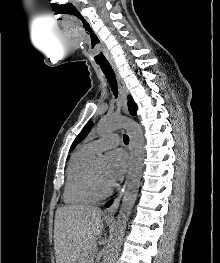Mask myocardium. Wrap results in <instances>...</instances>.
Returning <instances> with one entry per match:
<instances>
[{
  "label": "myocardium",
  "mask_w": 220,
  "mask_h": 263,
  "mask_svg": "<svg viewBox=\"0 0 220 263\" xmlns=\"http://www.w3.org/2000/svg\"><path fill=\"white\" fill-rule=\"evenodd\" d=\"M87 187L89 192L94 196L96 199H103L108 197L112 193V186L110 185L108 188H101L96 175L94 171V166L92 165L89 169L88 172V177H87Z\"/></svg>",
  "instance_id": "obj_1"
}]
</instances>
